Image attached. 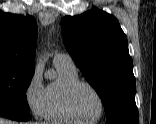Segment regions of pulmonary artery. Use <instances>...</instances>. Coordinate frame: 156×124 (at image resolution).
I'll return each mask as SVG.
<instances>
[{"mask_svg":"<svg viewBox=\"0 0 156 124\" xmlns=\"http://www.w3.org/2000/svg\"><path fill=\"white\" fill-rule=\"evenodd\" d=\"M53 63L54 65H65L69 67H75L73 59L68 54L64 53H56L53 57Z\"/></svg>","mask_w":156,"mask_h":124,"instance_id":"obj_1","label":"pulmonary artery"}]
</instances>
